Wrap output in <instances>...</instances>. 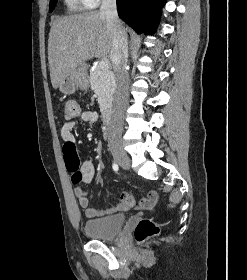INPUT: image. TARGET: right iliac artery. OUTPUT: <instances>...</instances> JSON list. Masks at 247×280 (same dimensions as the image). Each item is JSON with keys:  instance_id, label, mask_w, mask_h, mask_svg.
I'll return each mask as SVG.
<instances>
[{"instance_id": "82829eb1", "label": "right iliac artery", "mask_w": 247, "mask_h": 280, "mask_svg": "<svg viewBox=\"0 0 247 280\" xmlns=\"http://www.w3.org/2000/svg\"><path fill=\"white\" fill-rule=\"evenodd\" d=\"M112 167H113V170H114V171H118V169H119L118 164L115 163V162L113 163Z\"/></svg>"}]
</instances>
